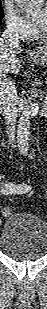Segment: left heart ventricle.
<instances>
[{"label":"left heart ventricle","instance_id":"b2bd125f","mask_svg":"<svg viewBox=\"0 0 47 309\" xmlns=\"http://www.w3.org/2000/svg\"><path fill=\"white\" fill-rule=\"evenodd\" d=\"M40 30H45L46 29V20H44L41 25L39 26Z\"/></svg>","mask_w":47,"mask_h":309}]
</instances>
